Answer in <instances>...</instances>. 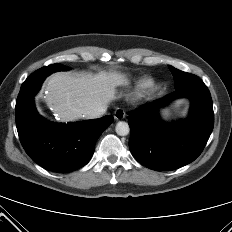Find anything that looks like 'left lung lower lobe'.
I'll return each instance as SVG.
<instances>
[{
	"mask_svg": "<svg viewBox=\"0 0 232 232\" xmlns=\"http://www.w3.org/2000/svg\"><path fill=\"white\" fill-rule=\"evenodd\" d=\"M178 97L191 100L186 120L166 124L157 108ZM129 148L142 165L156 171L174 170L194 161L203 151L214 126L212 98L200 79L166 97L129 113Z\"/></svg>",
	"mask_w": 232,
	"mask_h": 232,
	"instance_id": "0a47b994",
	"label": "left lung lower lobe"
}]
</instances>
